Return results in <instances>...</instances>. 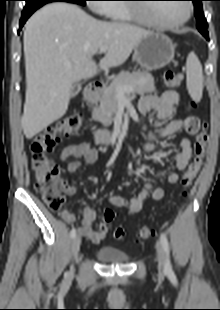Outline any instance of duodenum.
<instances>
[{
    "label": "duodenum",
    "mask_w": 220,
    "mask_h": 310,
    "mask_svg": "<svg viewBox=\"0 0 220 310\" xmlns=\"http://www.w3.org/2000/svg\"><path fill=\"white\" fill-rule=\"evenodd\" d=\"M104 88L102 81L95 80L91 82L88 90L85 94V100L89 103H94ZM116 136L106 130H100L95 133V139L98 143L111 144L115 140Z\"/></svg>",
    "instance_id": "410a0bca"
}]
</instances>
